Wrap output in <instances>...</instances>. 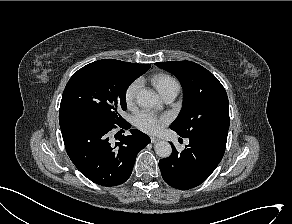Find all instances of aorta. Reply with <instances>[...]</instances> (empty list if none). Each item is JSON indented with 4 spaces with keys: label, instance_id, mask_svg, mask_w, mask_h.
<instances>
[{
    "label": "aorta",
    "instance_id": "aorta-1",
    "mask_svg": "<svg viewBox=\"0 0 292 224\" xmlns=\"http://www.w3.org/2000/svg\"><path fill=\"white\" fill-rule=\"evenodd\" d=\"M137 103L144 108H153L159 104V96L150 90H141L137 95ZM155 152L161 158H167L172 153V147L170 143L166 141H160L155 145Z\"/></svg>",
    "mask_w": 292,
    "mask_h": 224
}]
</instances>
